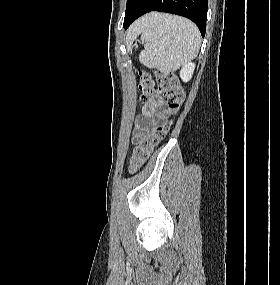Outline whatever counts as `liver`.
<instances>
[{"mask_svg": "<svg viewBox=\"0 0 280 285\" xmlns=\"http://www.w3.org/2000/svg\"><path fill=\"white\" fill-rule=\"evenodd\" d=\"M152 14L147 15L143 18H141L140 20H138L131 28V30L128 32V36H132L134 34H137L140 32L141 27L143 26V24L146 22V20L151 17Z\"/></svg>", "mask_w": 280, "mask_h": 285, "instance_id": "obj_1", "label": "liver"}]
</instances>
